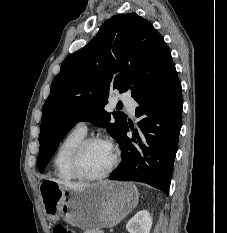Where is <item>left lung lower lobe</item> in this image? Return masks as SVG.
I'll list each match as a JSON object with an SVG mask.
<instances>
[{
	"mask_svg": "<svg viewBox=\"0 0 227 233\" xmlns=\"http://www.w3.org/2000/svg\"><path fill=\"white\" fill-rule=\"evenodd\" d=\"M139 104L136 116L140 130L126 136L128 124L118 144L122 162L111 180L138 181L169 192L171 174L181 129V84L174 64L150 90L134 98Z\"/></svg>",
	"mask_w": 227,
	"mask_h": 233,
	"instance_id": "obj_1",
	"label": "left lung lower lobe"
}]
</instances>
